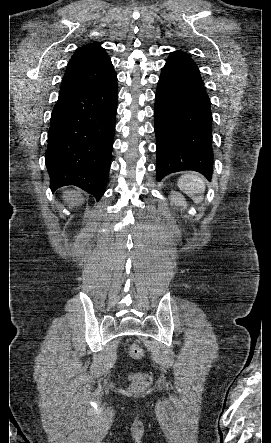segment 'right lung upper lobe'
I'll return each instance as SVG.
<instances>
[{
	"instance_id": "right-lung-upper-lobe-1",
	"label": "right lung upper lobe",
	"mask_w": 271,
	"mask_h": 443,
	"mask_svg": "<svg viewBox=\"0 0 271 443\" xmlns=\"http://www.w3.org/2000/svg\"><path fill=\"white\" fill-rule=\"evenodd\" d=\"M116 78L113 65L98 43L79 47L71 57L60 92L108 83Z\"/></svg>"
}]
</instances>
